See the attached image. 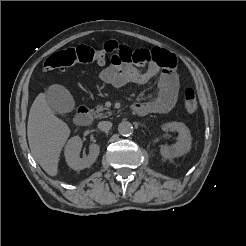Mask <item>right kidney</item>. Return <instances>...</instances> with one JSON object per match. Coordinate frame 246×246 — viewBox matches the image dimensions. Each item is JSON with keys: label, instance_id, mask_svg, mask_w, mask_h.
<instances>
[{"label": "right kidney", "instance_id": "right-kidney-1", "mask_svg": "<svg viewBox=\"0 0 246 246\" xmlns=\"http://www.w3.org/2000/svg\"><path fill=\"white\" fill-rule=\"evenodd\" d=\"M82 148V140L79 136L72 137L65 146V159L68 166L74 170H83L90 167L98 158L100 146L91 144L88 156L80 158L79 153Z\"/></svg>", "mask_w": 246, "mask_h": 246}]
</instances>
